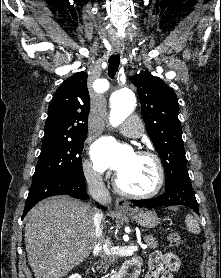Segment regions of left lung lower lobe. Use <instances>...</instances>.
<instances>
[{
  "label": "left lung lower lobe",
  "mask_w": 221,
  "mask_h": 278,
  "mask_svg": "<svg viewBox=\"0 0 221 278\" xmlns=\"http://www.w3.org/2000/svg\"><path fill=\"white\" fill-rule=\"evenodd\" d=\"M165 189L166 192L160 197L146 200H132V203L140 208L183 205L193 209L199 214L198 204L191 187L189 175L176 178L169 186H166Z\"/></svg>",
  "instance_id": "left-lung-lower-lobe-1"
}]
</instances>
